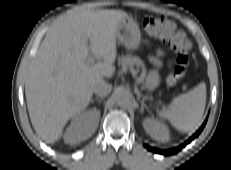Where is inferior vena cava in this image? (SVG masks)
<instances>
[{
    "mask_svg": "<svg viewBox=\"0 0 231 170\" xmlns=\"http://www.w3.org/2000/svg\"><path fill=\"white\" fill-rule=\"evenodd\" d=\"M111 90V84L106 83L104 80L99 81L93 87V92L101 97L108 95L111 92Z\"/></svg>",
    "mask_w": 231,
    "mask_h": 170,
    "instance_id": "1",
    "label": "inferior vena cava"
}]
</instances>
